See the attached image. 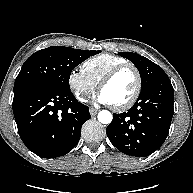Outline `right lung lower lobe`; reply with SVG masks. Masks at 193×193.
<instances>
[{
  "instance_id": "right-lung-lower-lobe-1",
  "label": "right lung lower lobe",
  "mask_w": 193,
  "mask_h": 193,
  "mask_svg": "<svg viewBox=\"0 0 193 193\" xmlns=\"http://www.w3.org/2000/svg\"><path fill=\"white\" fill-rule=\"evenodd\" d=\"M13 113L26 147L42 158L70 152L78 143L89 108L70 90L32 84L14 90Z\"/></svg>"
}]
</instances>
